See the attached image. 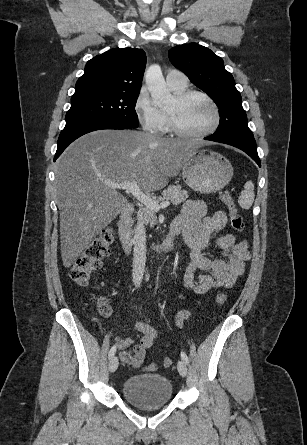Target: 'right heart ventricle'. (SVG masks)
Wrapping results in <instances>:
<instances>
[{"mask_svg": "<svg viewBox=\"0 0 307 445\" xmlns=\"http://www.w3.org/2000/svg\"><path fill=\"white\" fill-rule=\"evenodd\" d=\"M186 88H187V86L186 87H182V88H174V87H171V89L173 90V92L176 94V93H182L183 91H185L186 90Z\"/></svg>", "mask_w": 307, "mask_h": 445, "instance_id": "1", "label": "right heart ventricle"}]
</instances>
